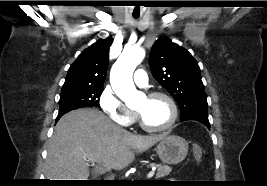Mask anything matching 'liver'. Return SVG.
<instances>
[{"mask_svg": "<svg viewBox=\"0 0 267 186\" xmlns=\"http://www.w3.org/2000/svg\"><path fill=\"white\" fill-rule=\"evenodd\" d=\"M165 136L132 134L98 109L71 111L58 121L49 141L46 178L88 180L89 162L97 163L93 175L124 169L134 160L135 152L146 151Z\"/></svg>", "mask_w": 267, "mask_h": 186, "instance_id": "6515ba94", "label": "liver"}]
</instances>
